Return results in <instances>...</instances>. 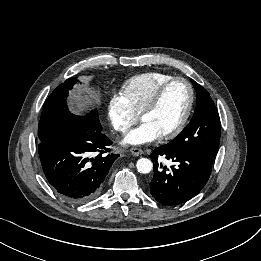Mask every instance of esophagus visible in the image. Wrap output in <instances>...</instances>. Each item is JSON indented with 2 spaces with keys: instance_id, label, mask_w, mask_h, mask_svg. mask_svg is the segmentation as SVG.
Instances as JSON below:
<instances>
[{
  "instance_id": "obj_1",
  "label": "esophagus",
  "mask_w": 261,
  "mask_h": 261,
  "mask_svg": "<svg viewBox=\"0 0 261 261\" xmlns=\"http://www.w3.org/2000/svg\"><path fill=\"white\" fill-rule=\"evenodd\" d=\"M130 152L134 155V156H139L143 154V151L140 148L137 147H133L130 149Z\"/></svg>"
}]
</instances>
